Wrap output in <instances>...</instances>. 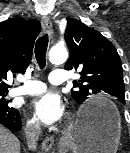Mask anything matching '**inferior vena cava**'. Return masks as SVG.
Here are the masks:
<instances>
[{
	"label": "inferior vena cava",
	"mask_w": 130,
	"mask_h": 153,
	"mask_svg": "<svg viewBox=\"0 0 130 153\" xmlns=\"http://www.w3.org/2000/svg\"><path fill=\"white\" fill-rule=\"evenodd\" d=\"M27 143L30 148H35L39 135L41 133V126L39 122L27 124L24 128Z\"/></svg>",
	"instance_id": "602c4592"
}]
</instances>
